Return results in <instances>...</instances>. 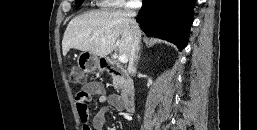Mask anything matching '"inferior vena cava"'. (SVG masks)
I'll return each instance as SVG.
<instances>
[{"mask_svg": "<svg viewBox=\"0 0 257 130\" xmlns=\"http://www.w3.org/2000/svg\"><path fill=\"white\" fill-rule=\"evenodd\" d=\"M125 14L129 18L130 31H131V52H130V56H129L128 69L130 71L134 72L136 70L134 63L136 61L137 51L139 49L141 32H140L138 24L134 20V17L136 16V12L131 9H128V10H126Z\"/></svg>", "mask_w": 257, "mask_h": 130, "instance_id": "obj_1", "label": "inferior vena cava"}]
</instances>
